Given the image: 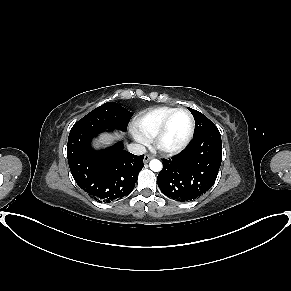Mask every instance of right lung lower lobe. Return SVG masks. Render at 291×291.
Returning a JSON list of instances; mask_svg holds the SVG:
<instances>
[{"label": "right lung lower lobe", "instance_id": "right-lung-lower-lobe-1", "mask_svg": "<svg viewBox=\"0 0 291 291\" xmlns=\"http://www.w3.org/2000/svg\"><path fill=\"white\" fill-rule=\"evenodd\" d=\"M103 131L71 132L67 158L78 186L98 202L110 203L122 199L134 189L138 174L144 167V155L131 154L123 149L121 142L106 150H94L91 140Z\"/></svg>", "mask_w": 291, "mask_h": 291}]
</instances>
